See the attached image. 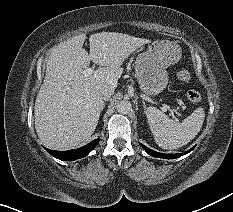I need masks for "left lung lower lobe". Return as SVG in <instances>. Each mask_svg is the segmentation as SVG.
<instances>
[{"instance_id": "0a47b994", "label": "left lung lower lobe", "mask_w": 233, "mask_h": 212, "mask_svg": "<svg viewBox=\"0 0 233 212\" xmlns=\"http://www.w3.org/2000/svg\"><path fill=\"white\" fill-rule=\"evenodd\" d=\"M140 145L142 146L143 149H145V151L149 155L154 156V157H158V158H165V159H175V158H178L180 156H183V155L189 153L191 150L194 149V147H193L190 150H188V151H186L184 153H180V154H161L159 152L153 151L152 149H149L148 147H146L145 145H142L141 143H140Z\"/></svg>"}]
</instances>
